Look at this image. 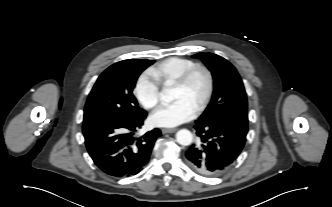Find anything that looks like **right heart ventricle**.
I'll return each mask as SVG.
<instances>
[{
  "label": "right heart ventricle",
  "instance_id": "right-heart-ventricle-1",
  "mask_svg": "<svg viewBox=\"0 0 332 207\" xmlns=\"http://www.w3.org/2000/svg\"><path fill=\"white\" fill-rule=\"evenodd\" d=\"M197 63L188 58L169 57L152 67L150 74L162 85L173 83L180 75Z\"/></svg>",
  "mask_w": 332,
  "mask_h": 207
}]
</instances>
